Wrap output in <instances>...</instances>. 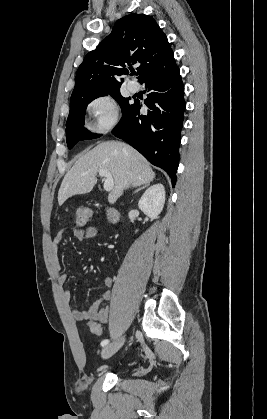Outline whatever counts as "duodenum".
<instances>
[{"label":"duodenum","mask_w":267,"mask_h":419,"mask_svg":"<svg viewBox=\"0 0 267 419\" xmlns=\"http://www.w3.org/2000/svg\"><path fill=\"white\" fill-rule=\"evenodd\" d=\"M106 216L110 223L114 224L119 219V214L114 208H107L106 209Z\"/></svg>","instance_id":"obj_1"}]
</instances>
